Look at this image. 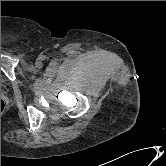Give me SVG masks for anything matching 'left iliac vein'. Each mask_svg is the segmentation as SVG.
Here are the masks:
<instances>
[{
  "label": "left iliac vein",
  "instance_id": "left-iliac-vein-1",
  "mask_svg": "<svg viewBox=\"0 0 166 166\" xmlns=\"http://www.w3.org/2000/svg\"><path fill=\"white\" fill-rule=\"evenodd\" d=\"M40 65H41L40 60H37V62H36V66H40Z\"/></svg>",
  "mask_w": 166,
  "mask_h": 166
}]
</instances>
